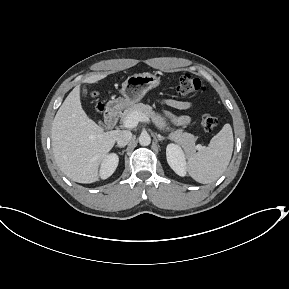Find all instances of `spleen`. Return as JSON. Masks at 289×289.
Instances as JSON below:
<instances>
[{"label":"spleen","instance_id":"obj_1","mask_svg":"<svg viewBox=\"0 0 289 289\" xmlns=\"http://www.w3.org/2000/svg\"><path fill=\"white\" fill-rule=\"evenodd\" d=\"M233 132L230 124L223 128L210 141L188 158L189 175L199 183L216 181L226 170L233 152Z\"/></svg>","mask_w":289,"mask_h":289}]
</instances>
